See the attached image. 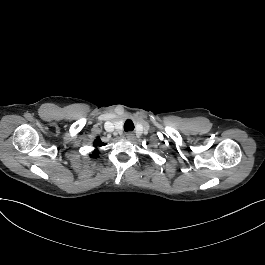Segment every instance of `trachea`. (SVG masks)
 <instances>
[{"instance_id": "trachea-1", "label": "trachea", "mask_w": 265, "mask_h": 265, "mask_svg": "<svg viewBox=\"0 0 265 265\" xmlns=\"http://www.w3.org/2000/svg\"><path fill=\"white\" fill-rule=\"evenodd\" d=\"M124 130L126 132L133 131L134 130V124L130 119H127L124 124Z\"/></svg>"}]
</instances>
